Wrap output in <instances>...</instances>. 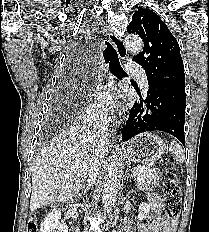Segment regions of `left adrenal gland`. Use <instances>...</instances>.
<instances>
[{"label": "left adrenal gland", "mask_w": 209, "mask_h": 232, "mask_svg": "<svg viewBox=\"0 0 209 232\" xmlns=\"http://www.w3.org/2000/svg\"><path fill=\"white\" fill-rule=\"evenodd\" d=\"M126 178H128V172H127V171L125 172V175L123 176L122 183H124V182H125Z\"/></svg>", "instance_id": "obj_1"}]
</instances>
